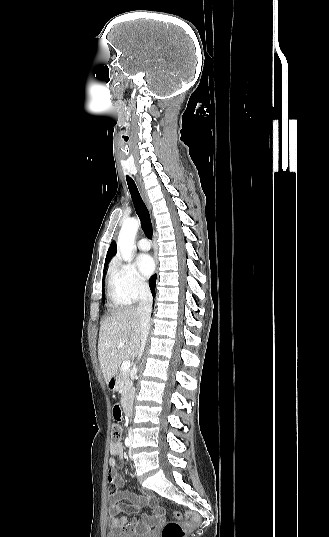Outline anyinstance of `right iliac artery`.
Masks as SVG:
<instances>
[{"instance_id": "right-iliac-artery-1", "label": "right iliac artery", "mask_w": 329, "mask_h": 537, "mask_svg": "<svg viewBox=\"0 0 329 537\" xmlns=\"http://www.w3.org/2000/svg\"><path fill=\"white\" fill-rule=\"evenodd\" d=\"M130 443H131V442H130V439H129L128 437H126V439H125V445H126L127 447H129V446H130Z\"/></svg>"}]
</instances>
